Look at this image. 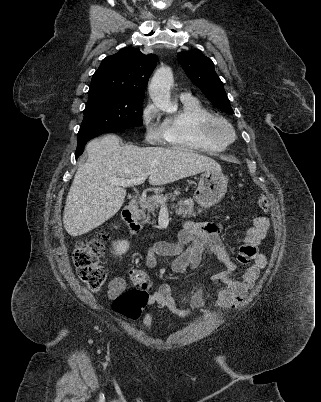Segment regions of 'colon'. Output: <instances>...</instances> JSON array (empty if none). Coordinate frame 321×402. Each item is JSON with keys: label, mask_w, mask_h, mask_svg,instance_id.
Masks as SVG:
<instances>
[{"label": "colon", "mask_w": 321, "mask_h": 402, "mask_svg": "<svg viewBox=\"0 0 321 402\" xmlns=\"http://www.w3.org/2000/svg\"><path fill=\"white\" fill-rule=\"evenodd\" d=\"M258 206L267 212L270 202L266 197L261 196L258 199ZM108 240V233L101 232L96 238L79 240L73 252V262L77 274L92 291L100 290L108 278L106 267L99 261ZM148 301L149 294L145 289L134 288L119 294L114 299L113 310L126 319L136 321L140 318Z\"/></svg>", "instance_id": "obj_1"}]
</instances>
